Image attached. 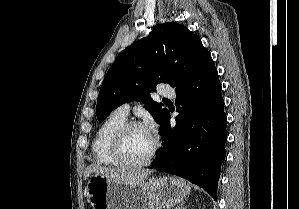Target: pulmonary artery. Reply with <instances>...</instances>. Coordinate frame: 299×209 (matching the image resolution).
I'll use <instances>...</instances> for the list:
<instances>
[{
	"label": "pulmonary artery",
	"mask_w": 299,
	"mask_h": 209,
	"mask_svg": "<svg viewBox=\"0 0 299 209\" xmlns=\"http://www.w3.org/2000/svg\"><path fill=\"white\" fill-rule=\"evenodd\" d=\"M158 94L165 98H173L175 96L174 90L169 86L160 87L158 90ZM117 111L125 116H128L129 112H130V104L125 103V104L120 105L117 108Z\"/></svg>",
	"instance_id": "1"
}]
</instances>
